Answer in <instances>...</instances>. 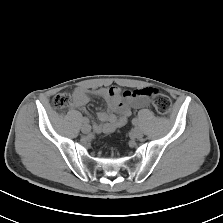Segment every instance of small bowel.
<instances>
[{
    "label": "small bowel",
    "mask_w": 223,
    "mask_h": 223,
    "mask_svg": "<svg viewBox=\"0 0 223 223\" xmlns=\"http://www.w3.org/2000/svg\"><path fill=\"white\" fill-rule=\"evenodd\" d=\"M150 93V88L122 92L118 87H103L94 90L78 87L73 91L74 107L86 114L84 121L87 124L90 115L85 111L84 106L91 96L103 99L106 102V109L97 112L99 122H93V129L97 133H110L128 121L132 108H146L149 105Z\"/></svg>",
    "instance_id": "c3829d8e"
}]
</instances>
